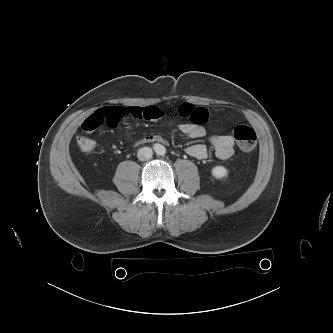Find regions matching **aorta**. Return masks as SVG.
<instances>
[{"label":"aorta","mask_w":333,"mask_h":333,"mask_svg":"<svg viewBox=\"0 0 333 333\" xmlns=\"http://www.w3.org/2000/svg\"><path fill=\"white\" fill-rule=\"evenodd\" d=\"M155 151L158 155H164L166 153V148L163 145L158 144L155 148Z\"/></svg>","instance_id":"obj_1"}]
</instances>
